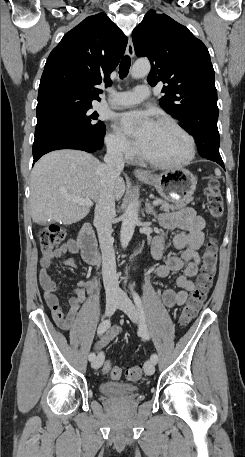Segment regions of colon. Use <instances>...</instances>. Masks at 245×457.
Wrapping results in <instances>:
<instances>
[{"instance_id":"5ec220e1","label":"colon","mask_w":245,"mask_h":457,"mask_svg":"<svg viewBox=\"0 0 245 457\" xmlns=\"http://www.w3.org/2000/svg\"><path fill=\"white\" fill-rule=\"evenodd\" d=\"M206 208L209 216L218 220L224 212L223 195L219 181L215 178L208 180L205 189ZM64 230L58 225L44 227L39 232L40 245L44 253H51L63 241ZM217 242L214 238L207 240L202 253L201 274L196 288L192 291L188 301L181 310L179 323L182 326L188 325L196 316L202 303L206 299L207 293L212 286L213 278L217 268ZM102 372L110 375L113 379L121 376V369L106 360L102 366ZM143 369L140 365L131 366L126 369L125 376L129 381L136 382L141 379Z\"/></svg>"}]
</instances>
